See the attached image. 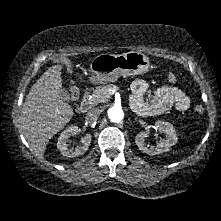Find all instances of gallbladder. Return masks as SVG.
<instances>
[{"instance_id": "obj_1", "label": "gallbladder", "mask_w": 221, "mask_h": 221, "mask_svg": "<svg viewBox=\"0 0 221 221\" xmlns=\"http://www.w3.org/2000/svg\"><path fill=\"white\" fill-rule=\"evenodd\" d=\"M61 97L66 101H70V95H69L68 91L65 89L62 90Z\"/></svg>"}]
</instances>
